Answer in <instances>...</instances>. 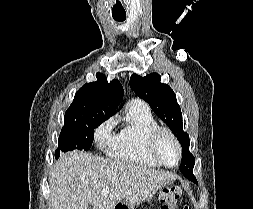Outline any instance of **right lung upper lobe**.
<instances>
[{
  "label": "right lung upper lobe",
  "instance_id": "right-lung-upper-lobe-1",
  "mask_svg": "<svg viewBox=\"0 0 253 209\" xmlns=\"http://www.w3.org/2000/svg\"><path fill=\"white\" fill-rule=\"evenodd\" d=\"M97 81L84 84L75 94L73 103L65 112L64 122L89 114L109 118L114 115L123 97V88L117 79L108 83L102 73L96 74Z\"/></svg>",
  "mask_w": 253,
  "mask_h": 209
}]
</instances>
